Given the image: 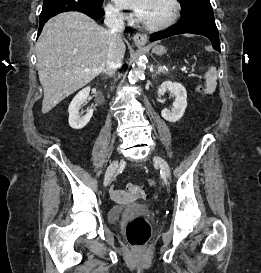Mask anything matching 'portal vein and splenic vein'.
Masks as SVG:
<instances>
[{
  "label": "portal vein and splenic vein",
  "mask_w": 261,
  "mask_h": 273,
  "mask_svg": "<svg viewBox=\"0 0 261 273\" xmlns=\"http://www.w3.org/2000/svg\"><path fill=\"white\" fill-rule=\"evenodd\" d=\"M181 70H182L183 72H187L185 67H183ZM84 71L89 72L90 69L86 68Z\"/></svg>",
  "instance_id": "1"
}]
</instances>
